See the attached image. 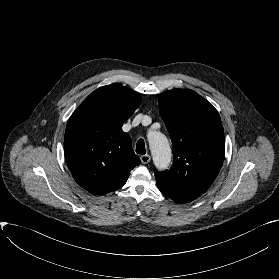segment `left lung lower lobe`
I'll return each instance as SVG.
<instances>
[{"label":"left lung lower lobe","mask_w":279,"mask_h":279,"mask_svg":"<svg viewBox=\"0 0 279 279\" xmlns=\"http://www.w3.org/2000/svg\"><path fill=\"white\" fill-rule=\"evenodd\" d=\"M158 188L164 195L168 196L169 198H171L172 200H174L178 203H187V202L194 200V198H192V197L173 192L166 187L158 185Z\"/></svg>","instance_id":"1"}]
</instances>
